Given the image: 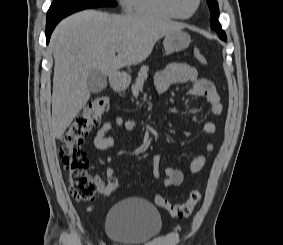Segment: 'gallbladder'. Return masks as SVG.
I'll use <instances>...</instances> for the list:
<instances>
[{"mask_svg":"<svg viewBox=\"0 0 283 245\" xmlns=\"http://www.w3.org/2000/svg\"><path fill=\"white\" fill-rule=\"evenodd\" d=\"M87 85L90 92L100 93L107 86L106 76L98 70H93L88 75Z\"/></svg>","mask_w":283,"mask_h":245,"instance_id":"1","label":"gallbladder"}]
</instances>
